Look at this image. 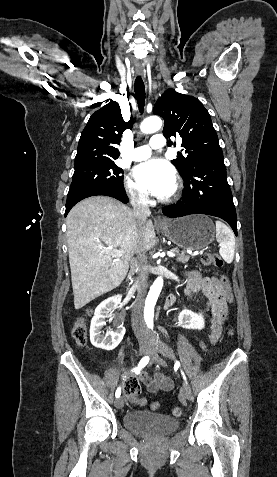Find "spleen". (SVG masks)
Segmentation results:
<instances>
[{"mask_svg":"<svg viewBox=\"0 0 277 477\" xmlns=\"http://www.w3.org/2000/svg\"><path fill=\"white\" fill-rule=\"evenodd\" d=\"M216 240L220 244L219 254L225 262L231 263L235 253V238L232 230L224 223L216 222Z\"/></svg>","mask_w":277,"mask_h":477,"instance_id":"1","label":"spleen"}]
</instances>
